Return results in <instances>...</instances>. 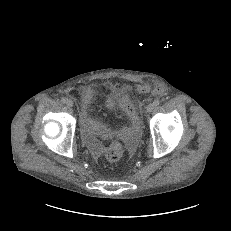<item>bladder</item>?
Returning <instances> with one entry per match:
<instances>
[{"mask_svg": "<svg viewBox=\"0 0 231 231\" xmlns=\"http://www.w3.org/2000/svg\"><path fill=\"white\" fill-rule=\"evenodd\" d=\"M120 106L119 100L114 96L106 97L102 102V107L107 112H114Z\"/></svg>", "mask_w": 231, "mask_h": 231, "instance_id": "obj_1", "label": "bladder"}]
</instances>
